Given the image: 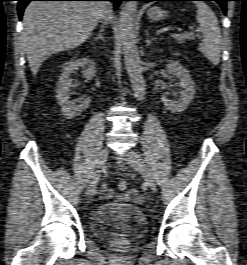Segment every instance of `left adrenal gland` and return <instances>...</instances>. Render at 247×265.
<instances>
[{"label":"left adrenal gland","mask_w":247,"mask_h":265,"mask_svg":"<svg viewBox=\"0 0 247 265\" xmlns=\"http://www.w3.org/2000/svg\"><path fill=\"white\" fill-rule=\"evenodd\" d=\"M146 47L150 46L154 39L149 38V33H146Z\"/></svg>","instance_id":"left-adrenal-gland-1"}]
</instances>
